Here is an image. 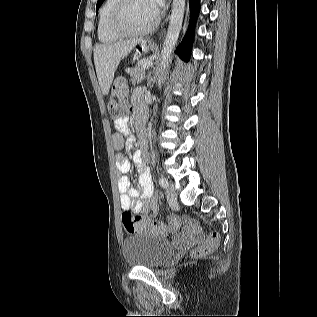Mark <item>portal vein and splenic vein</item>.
Here are the masks:
<instances>
[{"mask_svg":"<svg viewBox=\"0 0 317 317\" xmlns=\"http://www.w3.org/2000/svg\"><path fill=\"white\" fill-rule=\"evenodd\" d=\"M151 64H152V62H145V63L142 65V67H143V68H147V67H149Z\"/></svg>","mask_w":317,"mask_h":317,"instance_id":"1","label":"portal vein and splenic vein"}]
</instances>
